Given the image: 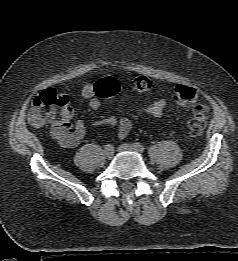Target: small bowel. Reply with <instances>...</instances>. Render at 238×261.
<instances>
[{
    "label": "small bowel",
    "instance_id": "obj_1",
    "mask_svg": "<svg viewBox=\"0 0 238 261\" xmlns=\"http://www.w3.org/2000/svg\"><path fill=\"white\" fill-rule=\"evenodd\" d=\"M81 95L84 99L88 100L91 109L97 110L100 108L101 101L96 92L95 84H85L81 90ZM165 104V99L159 98L147 107L146 113L158 118L162 115ZM51 123L53 137L65 147L72 148L77 146L85 137L87 132V127L82 121L78 120L74 124L71 123V114L69 119L66 121H60L53 118ZM101 126L116 127L118 129V138L123 139L129 134L132 128V120L127 117L121 119L108 117L93 123V127Z\"/></svg>",
    "mask_w": 238,
    "mask_h": 261
}]
</instances>
